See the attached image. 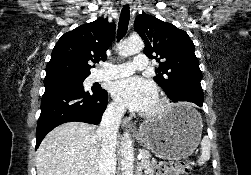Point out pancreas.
<instances>
[{"label": "pancreas", "instance_id": "cf45deb5", "mask_svg": "<svg viewBox=\"0 0 251 175\" xmlns=\"http://www.w3.org/2000/svg\"><path fill=\"white\" fill-rule=\"evenodd\" d=\"M140 153H142L143 157H141V165L144 167L145 175H154V169L157 165L155 159H153L150 151L147 149H140Z\"/></svg>", "mask_w": 251, "mask_h": 175}]
</instances>
